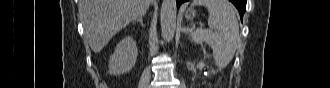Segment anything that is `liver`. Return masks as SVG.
Returning <instances> with one entry per match:
<instances>
[{"instance_id": "liver-1", "label": "liver", "mask_w": 330, "mask_h": 88, "mask_svg": "<svg viewBox=\"0 0 330 88\" xmlns=\"http://www.w3.org/2000/svg\"><path fill=\"white\" fill-rule=\"evenodd\" d=\"M151 0H80L84 36L94 53L131 21L143 16Z\"/></svg>"}]
</instances>
